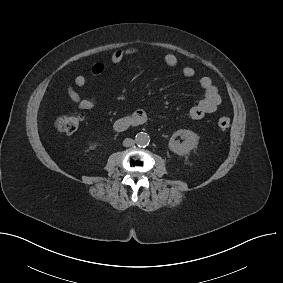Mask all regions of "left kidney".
I'll return each mask as SVG.
<instances>
[{"label":"left kidney","instance_id":"5707ae66","mask_svg":"<svg viewBox=\"0 0 283 283\" xmlns=\"http://www.w3.org/2000/svg\"><path fill=\"white\" fill-rule=\"evenodd\" d=\"M177 136L184 137V141L179 143L175 140ZM199 136L186 129H181L176 131L169 140V149L178 155H187L192 149L196 148L198 145Z\"/></svg>","mask_w":283,"mask_h":283}]
</instances>
